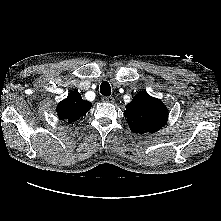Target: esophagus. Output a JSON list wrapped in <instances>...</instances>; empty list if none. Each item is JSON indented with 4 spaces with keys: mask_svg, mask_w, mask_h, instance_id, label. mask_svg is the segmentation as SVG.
Here are the masks:
<instances>
[{
    "mask_svg": "<svg viewBox=\"0 0 221 221\" xmlns=\"http://www.w3.org/2000/svg\"><path fill=\"white\" fill-rule=\"evenodd\" d=\"M102 101L107 103H114L115 99L112 96H103Z\"/></svg>",
    "mask_w": 221,
    "mask_h": 221,
    "instance_id": "obj_1",
    "label": "esophagus"
}]
</instances>
